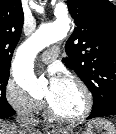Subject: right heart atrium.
Returning a JSON list of instances; mask_svg holds the SVG:
<instances>
[{"mask_svg":"<svg viewBox=\"0 0 116 134\" xmlns=\"http://www.w3.org/2000/svg\"><path fill=\"white\" fill-rule=\"evenodd\" d=\"M4 98L9 107L19 114L35 115L41 111L44 103L40 99L30 96L13 79L6 82Z\"/></svg>","mask_w":116,"mask_h":134,"instance_id":"right-heart-atrium-1","label":"right heart atrium"}]
</instances>
